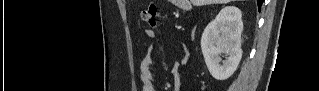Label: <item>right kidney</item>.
I'll return each instance as SVG.
<instances>
[{
    "instance_id": "ca27d5eb",
    "label": "right kidney",
    "mask_w": 319,
    "mask_h": 91,
    "mask_svg": "<svg viewBox=\"0 0 319 91\" xmlns=\"http://www.w3.org/2000/svg\"><path fill=\"white\" fill-rule=\"evenodd\" d=\"M242 13L234 6L224 7L205 28L201 49L213 78L225 80L237 69L242 57ZM221 54L228 56L222 60Z\"/></svg>"
}]
</instances>
